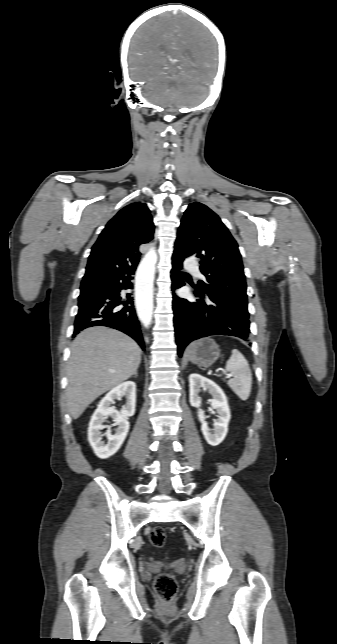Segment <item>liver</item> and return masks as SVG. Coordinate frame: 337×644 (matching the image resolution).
<instances>
[{"mask_svg":"<svg viewBox=\"0 0 337 644\" xmlns=\"http://www.w3.org/2000/svg\"><path fill=\"white\" fill-rule=\"evenodd\" d=\"M141 349L129 336L106 327H91L74 339L67 367V407L73 419L100 395L137 372Z\"/></svg>","mask_w":337,"mask_h":644,"instance_id":"6515ba94","label":"liver"}]
</instances>
